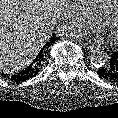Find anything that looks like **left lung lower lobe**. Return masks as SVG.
I'll list each match as a JSON object with an SVG mask.
<instances>
[{"label":"left lung lower lobe","mask_w":118,"mask_h":118,"mask_svg":"<svg viewBox=\"0 0 118 118\" xmlns=\"http://www.w3.org/2000/svg\"><path fill=\"white\" fill-rule=\"evenodd\" d=\"M98 75L112 83H118V51L113 52L107 62L99 68Z\"/></svg>","instance_id":"0a47b994"}]
</instances>
